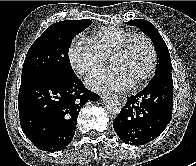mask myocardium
<instances>
[{"mask_svg": "<svg viewBox=\"0 0 196 166\" xmlns=\"http://www.w3.org/2000/svg\"><path fill=\"white\" fill-rule=\"evenodd\" d=\"M138 38L143 39L147 43V45L149 46V49L151 52V62H150V65H149L147 72L142 77H140L137 81H135L133 83L134 87H139V86L147 83L152 78V76L155 72V68L157 65V51H156V48H155V45H154L152 39L144 33H133L132 35L128 36L123 41V43L120 45V47L110 56V60H112L113 58L123 56L128 51L131 43L135 39H138Z\"/></svg>", "mask_w": 196, "mask_h": 166, "instance_id": "1", "label": "myocardium"}]
</instances>
